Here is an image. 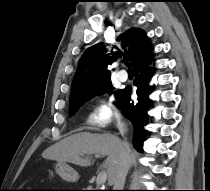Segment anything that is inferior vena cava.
Returning <instances> with one entry per match:
<instances>
[{
	"instance_id": "1",
	"label": "inferior vena cava",
	"mask_w": 210,
	"mask_h": 191,
	"mask_svg": "<svg viewBox=\"0 0 210 191\" xmlns=\"http://www.w3.org/2000/svg\"><path fill=\"white\" fill-rule=\"evenodd\" d=\"M121 131L122 126H120ZM130 167V149L127 142L124 143V149L121 155L119 167L114 175L113 190H123L125 178Z\"/></svg>"
}]
</instances>
